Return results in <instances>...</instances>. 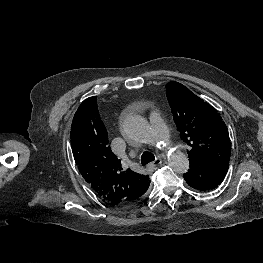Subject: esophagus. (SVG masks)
I'll return each mask as SVG.
<instances>
[{"mask_svg":"<svg viewBox=\"0 0 263 263\" xmlns=\"http://www.w3.org/2000/svg\"><path fill=\"white\" fill-rule=\"evenodd\" d=\"M162 163V160L160 158H156L153 162L148 164V169H156L157 166H159Z\"/></svg>","mask_w":263,"mask_h":263,"instance_id":"obj_1","label":"esophagus"}]
</instances>
